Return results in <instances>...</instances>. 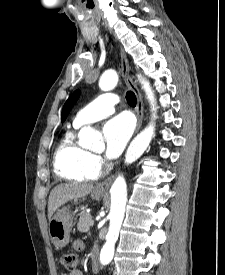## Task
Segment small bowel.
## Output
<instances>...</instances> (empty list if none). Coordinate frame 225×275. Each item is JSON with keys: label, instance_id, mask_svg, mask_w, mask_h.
<instances>
[{"label": "small bowel", "instance_id": "1", "mask_svg": "<svg viewBox=\"0 0 225 275\" xmlns=\"http://www.w3.org/2000/svg\"><path fill=\"white\" fill-rule=\"evenodd\" d=\"M74 248L76 250H81L82 249V244L80 242H76L74 244ZM62 275H82V272L80 270H74V271H71L69 273H64Z\"/></svg>", "mask_w": 225, "mask_h": 275}]
</instances>
